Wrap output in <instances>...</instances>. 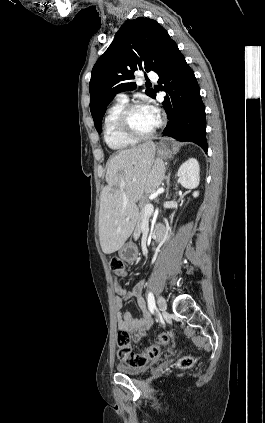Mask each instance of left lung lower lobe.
<instances>
[{
    "mask_svg": "<svg viewBox=\"0 0 265 423\" xmlns=\"http://www.w3.org/2000/svg\"><path fill=\"white\" fill-rule=\"evenodd\" d=\"M157 74L158 83L163 84L161 90L168 93L163 106L169 121L163 136L194 142L207 152L205 107L200 89L194 72L173 40L165 48Z\"/></svg>",
    "mask_w": 265,
    "mask_h": 423,
    "instance_id": "obj_1",
    "label": "left lung lower lobe"
}]
</instances>
